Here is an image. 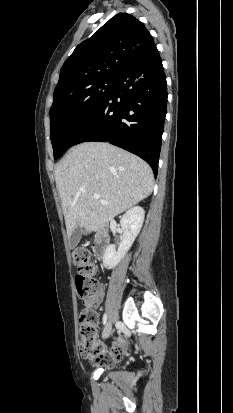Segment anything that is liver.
Segmentation results:
<instances>
[{
  "mask_svg": "<svg viewBox=\"0 0 233 413\" xmlns=\"http://www.w3.org/2000/svg\"><path fill=\"white\" fill-rule=\"evenodd\" d=\"M55 181L68 238L77 228L97 231L114 216L148 197L154 186L150 166L105 142L72 147L57 165ZM99 194L102 203L93 198Z\"/></svg>",
  "mask_w": 233,
  "mask_h": 413,
  "instance_id": "6515ba94",
  "label": "liver"
}]
</instances>
